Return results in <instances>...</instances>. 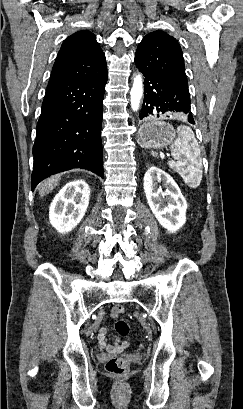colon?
<instances>
[{"mask_svg":"<svg viewBox=\"0 0 243 409\" xmlns=\"http://www.w3.org/2000/svg\"><path fill=\"white\" fill-rule=\"evenodd\" d=\"M124 314V307L117 305L113 307L111 315L113 318H119ZM115 329L121 336H127L129 334V325L123 319H117L115 322ZM106 371L115 377L123 376L128 370V363L121 357L110 358L105 365Z\"/></svg>","mask_w":243,"mask_h":409,"instance_id":"1","label":"colon"}]
</instances>
